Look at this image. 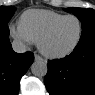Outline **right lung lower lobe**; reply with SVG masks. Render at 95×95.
I'll return each mask as SVG.
<instances>
[{
	"mask_svg": "<svg viewBox=\"0 0 95 95\" xmlns=\"http://www.w3.org/2000/svg\"><path fill=\"white\" fill-rule=\"evenodd\" d=\"M9 34L0 33V95H17L19 82L34 61L33 54L15 53Z\"/></svg>",
	"mask_w": 95,
	"mask_h": 95,
	"instance_id": "obj_1",
	"label": "right lung lower lobe"
}]
</instances>
